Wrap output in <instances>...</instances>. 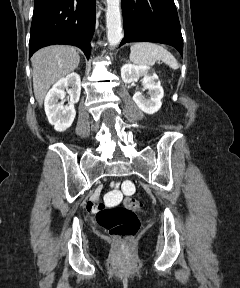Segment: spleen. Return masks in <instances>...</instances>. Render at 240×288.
Listing matches in <instances>:
<instances>
[{
    "instance_id": "1",
    "label": "spleen",
    "mask_w": 240,
    "mask_h": 288,
    "mask_svg": "<svg viewBox=\"0 0 240 288\" xmlns=\"http://www.w3.org/2000/svg\"><path fill=\"white\" fill-rule=\"evenodd\" d=\"M130 50V61L134 64L151 66L161 60L174 70L179 67L175 57L161 45L139 42L132 45Z\"/></svg>"
}]
</instances>
